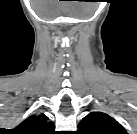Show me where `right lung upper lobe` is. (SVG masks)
<instances>
[{
  "label": "right lung upper lobe",
  "instance_id": "obj_1",
  "mask_svg": "<svg viewBox=\"0 0 137 134\" xmlns=\"http://www.w3.org/2000/svg\"><path fill=\"white\" fill-rule=\"evenodd\" d=\"M55 125L45 114H34L19 124L14 131L18 134H55Z\"/></svg>",
  "mask_w": 137,
  "mask_h": 134
}]
</instances>
